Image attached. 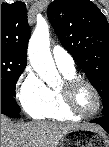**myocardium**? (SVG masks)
Returning <instances> with one entry per match:
<instances>
[{
    "label": "myocardium",
    "mask_w": 109,
    "mask_h": 147,
    "mask_svg": "<svg viewBox=\"0 0 109 147\" xmlns=\"http://www.w3.org/2000/svg\"><path fill=\"white\" fill-rule=\"evenodd\" d=\"M81 85H86L87 87H89L96 98V107L90 114L82 113L76 104V92ZM59 91L63 97L64 104L67 107V109L73 115L79 118H91L95 116L101 108V97L97 88L91 82L82 77L75 75L73 77L65 79Z\"/></svg>",
    "instance_id": "myocardium-1"
}]
</instances>
